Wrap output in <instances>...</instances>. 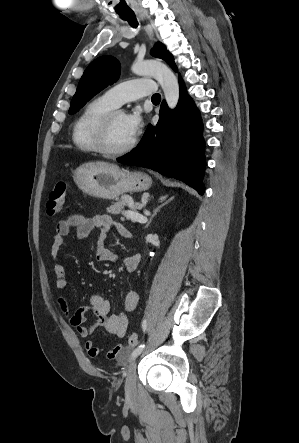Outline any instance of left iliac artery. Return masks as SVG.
Masks as SVG:
<instances>
[{
    "label": "left iliac artery",
    "mask_w": 299,
    "mask_h": 443,
    "mask_svg": "<svg viewBox=\"0 0 299 443\" xmlns=\"http://www.w3.org/2000/svg\"><path fill=\"white\" fill-rule=\"evenodd\" d=\"M142 328H143L144 331H146V329H147V321H146V319H144L143 322H142ZM144 347H145V344H144V343H143V344H140V345H139V346L133 351V353H132V358H135L136 356H138V355L143 351Z\"/></svg>",
    "instance_id": "44dca946"
}]
</instances>
